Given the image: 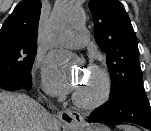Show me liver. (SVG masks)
Returning a JSON list of instances; mask_svg holds the SVG:
<instances>
[{"instance_id":"obj_1","label":"liver","mask_w":151,"mask_h":131,"mask_svg":"<svg viewBox=\"0 0 151 131\" xmlns=\"http://www.w3.org/2000/svg\"><path fill=\"white\" fill-rule=\"evenodd\" d=\"M37 101L25 94L0 93V131H59Z\"/></svg>"}]
</instances>
